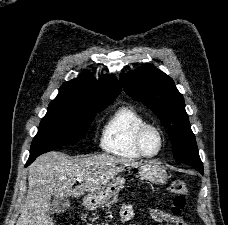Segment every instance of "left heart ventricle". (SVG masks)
I'll return each instance as SVG.
<instances>
[{"label":"left heart ventricle","instance_id":"1","mask_svg":"<svg viewBox=\"0 0 228 225\" xmlns=\"http://www.w3.org/2000/svg\"><path fill=\"white\" fill-rule=\"evenodd\" d=\"M146 149L149 153H155L159 148V137L158 135L151 131L148 133L146 140Z\"/></svg>","mask_w":228,"mask_h":225}]
</instances>
